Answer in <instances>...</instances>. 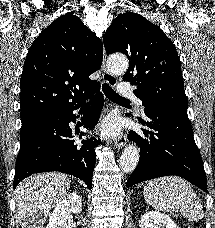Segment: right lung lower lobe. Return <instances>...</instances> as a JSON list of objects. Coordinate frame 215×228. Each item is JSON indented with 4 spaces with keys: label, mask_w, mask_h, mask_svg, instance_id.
I'll return each instance as SVG.
<instances>
[{
    "label": "right lung lower lobe",
    "mask_w": 215,
    "mask_h": 228,
    "mask_svg": "<svg viewBox=\"0 0 215 228\" xmlns=\"http://www.w3.org/2000/svg\"><path fill=\"white\" fill-rule=\"evenodd\" d=\"M92 98L87 107L85 101ZM103 95L99 83L79 103L74 104L59 115L58 119L46 122L33 130L20 135V151L17 156L14 188L24 178L33 173L59 171L78 177L85 181L89 189L92 186L93 169L96 162L95 148L101 143L100 139L82 140L74 144L72 129L69 123H75L73 110L81 108L84 113L81 126L93 129L99 120L103 108ZM79 138L84 135L79 133Z\"/></svg>",
    "instance_id": "98d812e1"
}]
</instances>
